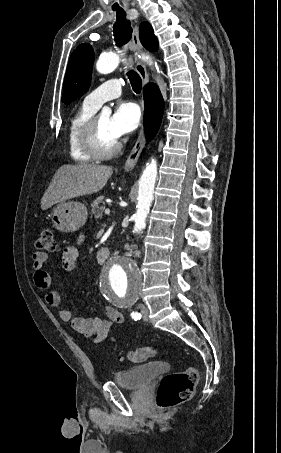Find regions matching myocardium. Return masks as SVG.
<instances>
[{
  "label": "myocardium",
  "instance_id": "1",
  "mask_svg": "<svg viewBox=\"0 0 281 453\" xmlns=\"http://www.w3.org/2000/svg\"><path fill=\"white\" fill-rule=\"evenodd\" d=\"M100 115L94 116L86 125L82 144L85 151L94 158L108 159L116 156L122 148V143L117 139L110 148H104L101 143L99 131Z\"/></svg>",
  "mask_w": 281,
  "mask_h": 453
}]
</instances>
